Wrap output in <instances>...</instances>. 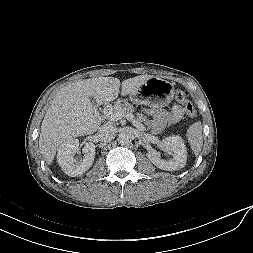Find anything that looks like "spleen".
<instances>
[{
    "label": "spleen",
    "mask_w": 253,
    "mask_h": 253,
    "mask_svg": "<svg viewBox=\"0 0 253 253\" xmlns=\"http://www.w3.org/2000/svg\"><path fill=\"white\" fill-rule=\"evenodd\" d=\"M187 139L194 151L195 155H198L202 149L203 145V135H202V124L200 121L193 123L187 129Z\"/></svg>",
    "instance_id": "spleen-1"
}]
</instances>
